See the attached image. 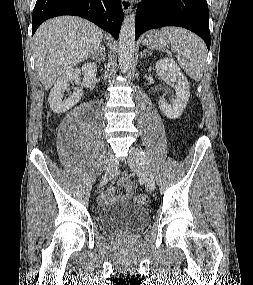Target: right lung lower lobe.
I'll list each match as a JSON object with an SVG mask.
<instances>
[{
  "instance_id": "right-lung-lower-lobe-1",
  "label": "right lung lower lobe",
  "mask_w": 253,
  "mask_h": 285,
  "mask_svg": "<svg viewBox=\"0 0 253 285\" xmlns=\"http://www.w3.org/2000/svg\"><path fill=\"white\" fill-rule=\"evenodd\" d=\"M61 15L86 18L115 39L124 16L120 0H37L32 15V35L45 20Z\"/></svg>"
}]
</instances>
